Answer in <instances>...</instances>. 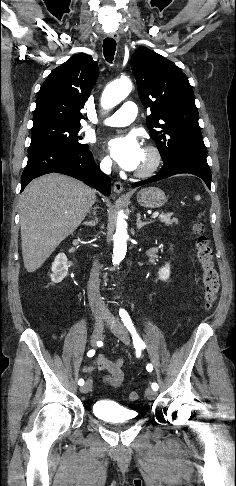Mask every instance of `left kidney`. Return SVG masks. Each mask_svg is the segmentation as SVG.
Returning a JSON list of instances; mask_svg holds the SVG:
<instances>
[{
  "instance_id": "obj_1",
  "label": "left kidney",
  "mask_w": 236,
  "mask_h": 486,
  "mask_svg": "<svg viewBox=\"0 0 236 486\" xmlns=\"http://www.w3.org/2000/svg\"><path fill=\"white\" fill-rule=\"evenodd\" d=\"M159 279L162 281H167L170 276V264L166 263L163 267H161L158 271Z\"/></svg>"
}]
</instances>
